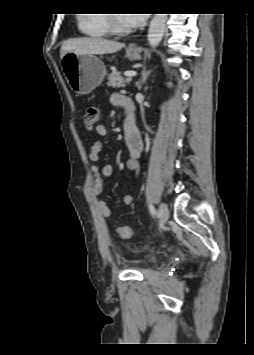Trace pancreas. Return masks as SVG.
<instances>
[{"instance_id": "obj_1", "label": "pancreas", "mask_w": 254, "mask_h": 355, "mask_svg": "<svg viewBox=\"0 0 254 355\" xmlns=\"http://www.w3.org/2000/svg\"><path fill=\"white\" fill-rule=\"evenodd\" d=\"M129 79H123L121 77L120 72L112 71V73L108 76L107 85L110 87H125L126 83H129Z\"/></svg>"}]
</instances>
